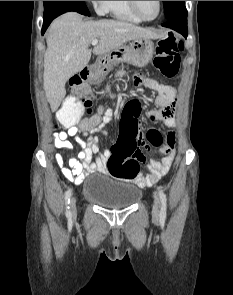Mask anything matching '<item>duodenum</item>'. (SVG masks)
I'll use <instances>...</instances> for the list:
<instances>
[{
  "mask_svg": "<svg viewBox=\"0 0 233 295\" xmlns=\"http://www.w3.org/2000/svg\"><path fill=\"white\" fill-rule=\"evenodd\" d=\"M82 79L83 80H89L92 76V71L89 69V68H85L83 71H82Z\"/></svg>",
  "mask_w": 233,
  "mask_h": 295,
  "instance_id": "obj_1",
  "label": "duodenum"
}]
</instances>
